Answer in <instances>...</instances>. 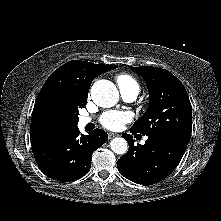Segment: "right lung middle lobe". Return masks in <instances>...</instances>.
<instances>
[{"label":"right lung middle lobe","instance_id":"right-lung-middle-lobe-1","mask_svg":"<svg viewBox=\"0 0 221 221\" xmlns=\"http://www.w3.org/2000/svg\"><path fill=\"white\" fill-rule=\"evenodd\" d=\"M84 106H74L70 109H68L66 112L62 113V116L69 119L73 126H77V123L79 121L78 115H79V108H83Z\"/></svg>","mask_w":221,"mask_h":221}]
</instances>
